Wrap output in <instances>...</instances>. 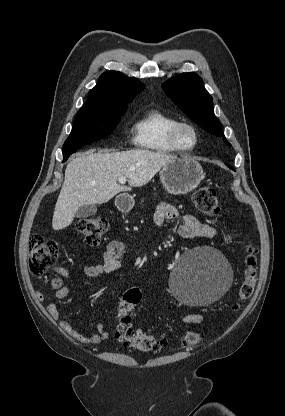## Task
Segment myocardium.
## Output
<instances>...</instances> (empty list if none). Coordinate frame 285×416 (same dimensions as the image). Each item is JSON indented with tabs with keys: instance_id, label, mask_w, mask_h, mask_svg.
<instances>
[{
	"instance_id": "f54148a6",
	"label": "myocardium",
	"mask_w": 285,
	"mask_h": 416,
	"mask_svg": "<svg viewBox=\"0 0 285 416\" xmlns=\"http://www.w3.org/2000/svg\"><path fill=\"white\" fill-rule=\"evenodd\" d=\"M183 128H188L192 131L193 135H194V140L195 143L192 147H185L181 144L180 141V131ZM170 141L172 143V145L174 146V148L181 153H185V154H190L193 153L194 151H196V149L198 148L199 144H200V136H199V132L196 128V126L190 122H182L179 121L177 122L171 129L170 131Z\"/></svg>"
}]
</instances>
